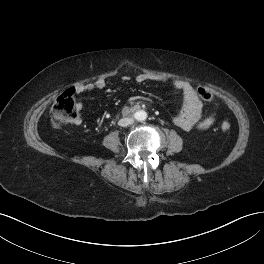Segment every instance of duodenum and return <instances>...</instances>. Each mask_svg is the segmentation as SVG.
Wrapping results in <instances>:
<instances>
[{
  "label": "duodenum",
  "mask_w": 264,
  "mask_h": 264,
  "mask_svg": "<svg viewBox=\"0 0 264 264\" xmlns=\"http://www.w3.org/2000/svg\"><path fill=\"white\" fill-rule=\"evenodd\" d=\"M137 109H138V107H132V108H129V111H135Z\"/></svg>",
  "instance_id": "duodenum-1"
}]
</instances>
